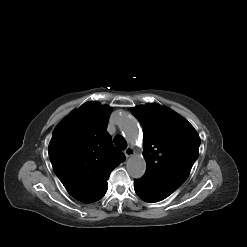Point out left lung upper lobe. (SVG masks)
Masks as SVG:
<instances>
[{
    "label": "left lung upper lobe",
    "mask_w": 247,
    "mask_h": 247,
    "mask_svg": "<svg viewBox=\"0 0 247 247\" xmlns=\"http://www.w3.org/2000/svg\"><path fill=\"white\" fill-rule=\"evenodd\" d=\"M143 126V176L160 191L172 194L188 177L198 158L200 138L193 126L171 109L155 103L131 108Z\"/></svg>",
    "instance_id": "obj_1"
}]
</instances>
